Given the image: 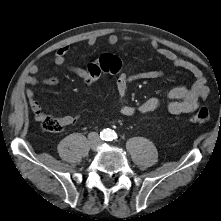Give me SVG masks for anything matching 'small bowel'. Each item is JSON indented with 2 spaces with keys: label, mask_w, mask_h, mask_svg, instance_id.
Wrapping results in <instances>:
<instances>
[{
  "label": "small bowel",
  "mask_w": 221,
  "mask_h": 221,
  "mask_svg": "<svg viewBox=\"0 0 221 221\" xmlns=\"http://www.w3.org/2000/svg\"><path fill=\"white\" fill-rule=\"evenodd\" d=\"M118 36L111 34L107 38V43L110 46H114L118 43ZM143 42L150 46L156 53L163 58L170 61L175 67L188 71L194 77V83L191 87L177 86L171 89L168 93L170 102L168 104V110L172 114H183L195 111L201 99H204L208 94V87L206 85V78L202 71L193 63L180 57L175 52L160 47L157 42L151 39H143ZM89 46H93L96 43V39L91 37L87 41ZM70 50L69 45L61 46L57 49L54 56V63L59 67L66 68L69 72L78 76L86 81L89 76L88 67L78 66L67 62V54ZM30 76L26 77L25 82L28 85H46L56 86L59 83L57 77H48L39 79L35 75L39 72L37 65H31L29 67ZM161 71H147L137 74L120 73L116 81V90L121 104L120 113L125 117H132L137 112L146 114L155 111L160 106V100L156 97H151L143 101L138 106L125 104L124 99L126 97L128 86L131 82L140 79H158L162 77ZM25 95L28 99L29 106L33 112L35 118L40 121L42 116L45 115L38 101L36 100L35 93L31 89H26ZM64 126L71 125L74 122V118L69 115L60 117Z\"/></svg>",
  "instance_id": "1"
}]
</instances>
